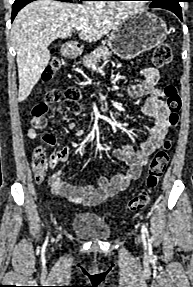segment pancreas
Returning <instances> with one entry per match:
<instances>
[{"mask_svg":"<svg viewBox=\"0 0 193 287\" xmlns=\"http://www.w3.org/2000/svg\"><path fill=\"white\" fill-rule=\"evenodd\" d=\"M111 56L112 52L109 50L108 47H98L92 53L83 57L82 64L87 69H90L93 67V65H96L101 59L107 60Z\"/></svg>","mask_w":193,"mask_h":287,"instance_id":"obj_1","label":"pancreas"}]
</instances>
